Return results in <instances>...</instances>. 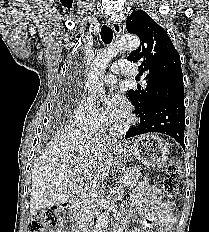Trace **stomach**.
<instances>
[{
    "instance_id": "stomach-1",
    "label": "stomach",
    "mask_w": 209,
    "mask_h": 232,
    "mask_svg": "<svg viewBox=\"0 0 209 232\" xmlns=\"http://www.w3.org/2000/svg\"><path fill=\"white\" fill-rule=\"evenodd\" d=\"M126 154L134 155L137 160L146 166L161 168L167 161L169 146L160 137L148 134L138 137L126 149H119Z\"/></svg>"
}]
</instances>
